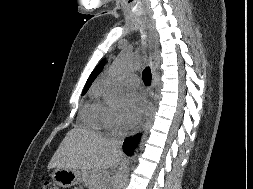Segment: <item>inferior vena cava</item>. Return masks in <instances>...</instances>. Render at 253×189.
<instances>
[{
  "mask_svg": "<svg viewBox=\"0 0 253 189\" xmlns=\"http://www.w3.org/2000/svg\"><path fill=\"white\" fill-rule=\"evenodd\" d=\"M122 139H123V136L119 135L116 139H113L110 141L111 147L113 148L114 151L118 153H121ZM106 181L107 180H105L103 183L105 184ZM98 188H101V186Z\"/></svg>",
  "mask_w": 253,
  "mask_h": 189,
  "instance_id": "602c4592",
  "label": "inferior vena cava"
}]
</instances>
